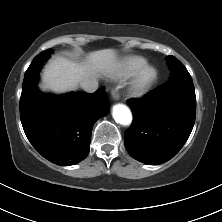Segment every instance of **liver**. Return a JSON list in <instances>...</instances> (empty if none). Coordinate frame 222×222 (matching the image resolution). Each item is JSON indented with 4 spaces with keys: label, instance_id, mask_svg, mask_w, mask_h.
I'll use <instances>...</instances> for the list:
<instances>
[{
    "label": "liver",
    "instance_id": "obj_1",
    "mask_svg": "<svg viewBox=\"0 0 222 222\" xmlns=\"http://www.w3.org/2000/svg\"><path fill=\"white\" fill-rule=\"evenodd\" d=\"M117 66V55L113 49L90 52L83 62L64 57L51 60L43 70L39 87L42 91L63 93L77 88L85 80L97 79L112 72Z\"/></svg>",
    "mask_w": 222,
    "mask_h": 222
}]
</instances>
